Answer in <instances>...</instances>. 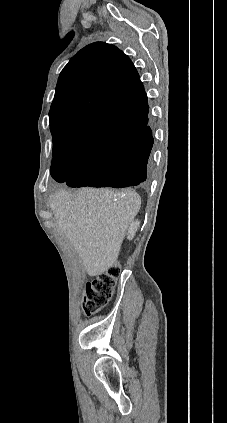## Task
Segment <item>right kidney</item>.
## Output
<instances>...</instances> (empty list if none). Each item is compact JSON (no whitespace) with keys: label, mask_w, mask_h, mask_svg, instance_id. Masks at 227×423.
<instances>
[{"label":"right kidney","mask_w":227,"mask_h":423,"mask_svg":"<svg viewBox=\"0 0 227 423\" xmlns=\"http://www.w3.org/2000/svg\"><path fill=\"white\" fill-rule=\"evenodd\" d=\"M140 221L139 219H135V221H131L130 227L127 233V239H133L137 229H139Z\"/></svg>","instance_id":"ca27d5eb"}]
</instances>
